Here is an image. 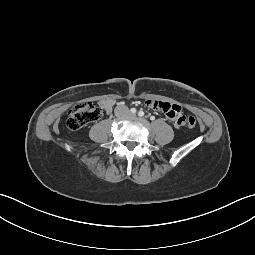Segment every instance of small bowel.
<instances>
[{
    "label": "small bowel",
    "mask_w": 255,
    "mask_h": 255,
    "mask_svg": "<svg viewBox=\"0 0 255 255\" xmlns=\"http://www.w3.org/2000/svg\"><path fill=\"white\" fill-rule=\"evenodd\" d=\"M115 104L116 101L114 99H106L100 101L101 108L107 113L112 111ZM146 105L164 114L171 122V127L174 130L181 129L187 122V117L184 115V112L179 105L153 99L147 100Z\"/></svg>",
    "instance_id": "1"
}]
</instances>
